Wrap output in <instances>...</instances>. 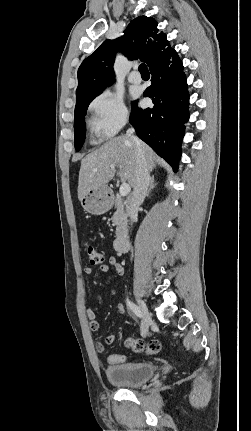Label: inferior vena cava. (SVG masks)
I'll use <instances>...</instances> for the list:
<instances>
[{
  "label": "inferior vena cava",
  "instance_id": "obj_1",
  "mask_svg": "<svg viewBox=\"0 0 251 431\" xmlns=\"http://www.w3.org/2000/svg\"><path fill=\"white\" fill-rule=\"evenodd\" d=\"M134 132L135 130L133 128H129L126 133V135L130 137L136 145L135 184L129 200V216L132 222L137 219L138 208L144 201L150 183V175L147 168L145 155L141 146V141L133 135Z\"/></svg>",
  "mask_w": 251,
  "mask_h": 431
}]
</instances>
